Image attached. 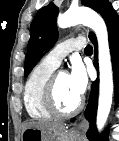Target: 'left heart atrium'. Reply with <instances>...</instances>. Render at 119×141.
I'll return each mask as SVG.
<instances>
[{"instance_id":"obj_1","label":"left heart atrium","mask_w":119,"mask_h":141,"mask_svg":"<svg viewBox=\"0 0 119 141\" xmlns=\"http://www.w3.org/2000/svg\"><path fill=\"white\" fill-rule=\"evenodd\" d=\"M69 83L78 97H81L87 87V73L81 62H73L71 72L68 74Z\"/></svg>"}]
</instances>
